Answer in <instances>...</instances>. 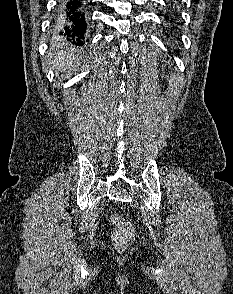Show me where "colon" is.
Segmentation results:
<instances>
[{
  "label": "colon",
  "instance_id": "colon-1",
  "mask_svg": "<svg viewBox=\"0 0 233 294\" xmlns=\"http://www.w3.org/2000/svg\"><path fill=\"white\" fill-rule=\"evenodd\" d=\"M111 220L115 226L113 232L114 244L119 248L129 246L134 239L133 225L118 214H113Z\"/></svg>",
  "mask_w": 233,
  "mask_h": 294
}]
</instances>
